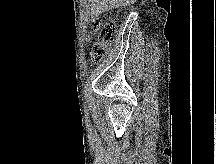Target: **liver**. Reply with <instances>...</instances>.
I'll return each mask as SVG.
<instances>
[{
	"instance_id": "1",
	"label": "liver",
	"mask_w": 216,
	"mask_h": 164,
	"mask_svg": "<svg viewBox=\"0 0 216 164\" xmlns=\"http://www.w3.org/2000/svg\"><path fill=\"white\" fill-rule=\"evenodd\" d=\"M92 1V15L98 16L104 11L113 8H122L130 6L137 2V0H91Z\"/></svg>"
}]
</instances>
